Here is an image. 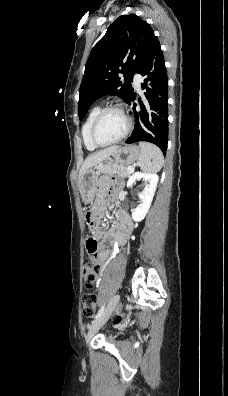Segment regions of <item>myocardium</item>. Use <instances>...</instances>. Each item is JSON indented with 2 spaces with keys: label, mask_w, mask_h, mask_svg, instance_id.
Wrapping results in <instances>:
<instances>
[{
  "label": "myocardium",
  "mask_w": 228,
  "mask_h": 396,
  "mask_svg": "<svg viewBox=\"0 0 228 396\" xmlns=\"http://www.w3.org/2000/svg\"><path fill=\"white\" fill-rule=\"evenodd\" d=\"M119 111L123 114V116L125 117L126 120V128L124 130V132L115 140L107 142V143H103L100 142L97 137H96V130H97V126L101 120V118L109 111ZM132 129V119L129 116V114L127 113L126 109L120 105V104H111L108 105L104 108H102L98 114L96 115V117L94 118L91 128H90V139L92 141V143L97 146V147H106V146H110L113 144H116L120 141H122L123 139H125L127 137V135L130 133Z\"/></svg>",
  "instance_id": "1"
}]
</instances>
